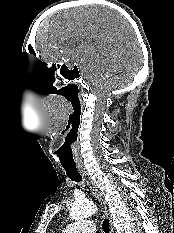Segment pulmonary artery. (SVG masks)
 <instances>
[{
    "label": "pulmonary artery",
    "mask_w": 174,
    "mask_h": 233,
    "mask_svg": "<svg viewBox=\"0 0 174 233\" xmlns=\"http://www.w3.org/2000/svg\"><path fill=\"white\" fill-rule=\"evenodd\" d=\"M96 228L93 221L81 220L69 224L62 233H95Z\"/></svg>",
    "instance_id": "1"
}]
</instances>
